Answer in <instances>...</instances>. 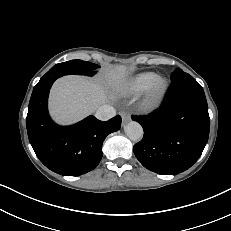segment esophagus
Segmentation results:
<instances>
[{"instance_id": "obj_1", "label": "esophagus", "mask_w": 231, "mask_h": 231, "mask_svg": "<svg viewBox=\"0 0 231 231\" xmlns=\"http://www.w3.org/2000/svg\"><path fill=\"white\" fill-rule=\"evenodd\" d=\"M120 115H121V117H122V123H123V124H125V123H127V122H129V121L131 120L130 115H129L127 112H125V111H122V112L120 113Z\"/></svg>"}]
</instances>
